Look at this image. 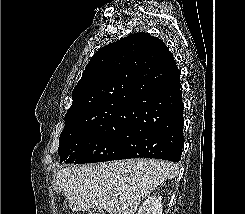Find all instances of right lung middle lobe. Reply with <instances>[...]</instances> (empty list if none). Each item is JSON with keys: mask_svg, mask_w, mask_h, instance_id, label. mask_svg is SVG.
Returning <instances> with one entry per match:
<instances>
[{"mask_svg": "<svg viewBox=\"0 0 245 214\" xmlns=\"http://www.w3.org/2000/svg\"><path fill=\"white\" fill-rule=\"evenodd\" d=\"M129 128V121L93 128L65 125L59 138L60 162L84 164L116 160Z\"/></svg>", "mask_w": 245, "mask_h": 214, "instance_id": "1", "label": "right lung middle lobe"}]
</instances>
